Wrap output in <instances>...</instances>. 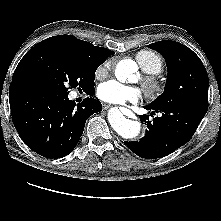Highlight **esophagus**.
Here are the masks:
<instances>
[{"label": "esophagus", "instance_id": "34e87169", "mask_svg": "<svg viewBox=\"0 0 221 221\" xmlns=\"http://www.w3.org/2000/svg\"><path fill=\"white\" fill-rule=\"evenodd\" d=\"M110 105H104V109H108Z\"/></svg>", "mask_w": 221, "mask_h": 221}]
</instances>
